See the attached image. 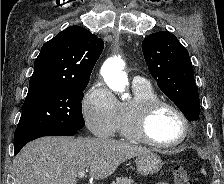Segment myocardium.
I'll use <instances>...</instances> for the list:
<instances>
[{
  "label": "myocardium",
  "mask_w": 224,
  "mask_h": 184,
  "mask_svg": "<svg viewBox=\"0 0 224 184\" xmlns=\"http://www.w3.org/2000/svg\"><path fill=\"white\" fill-rule=\"evenodd\" d=\"M162 108H168L173 111L183 124V133L177 141L160 143L155 141L149 133V124L152 117ZM129 129L135 141L160 149H170L180 145L186 140L190 131V124L187 116L175 104L164 99L155 98L144 101L133 109L129 122Z\"/></svg>",
  "instance_id": "f54148a6"
}]
</instances>
